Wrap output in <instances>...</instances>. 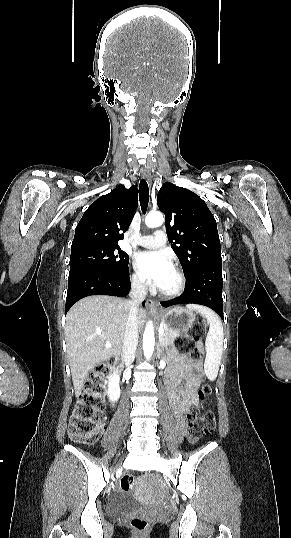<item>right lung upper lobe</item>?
Masks as SVG:
<instances>
[{"mask_svg":"<svg viewBox=\"0 0 291 538\" xmlns=\"http://www.w3.org/2000/svg\"><path fill=\"white\" fill-rule=\"evenodd\" d=\"M138 205L137 187L119 185L101 196L84 212L76 229L71 250L90 245L118 246L124 239Z\"/></svg>","mask_w":291,"mask_h":538,"instance_id":"1","label":"right lung upper lobe"}]
</instances>
